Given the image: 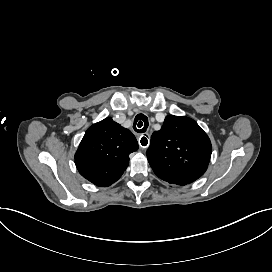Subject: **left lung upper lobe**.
I'll return each mask as SVG.
<instances>
[{
	"instance_id": "5c2ea615",
	"label": "left lung upper lobe",
	"mask_w": 272,
	"mask_h": 272,
	"mask_svg": "<svg viewBox=\"0 0 272 272\" xmlns=\"http://www.w3.org/2000/svg\"><path fill=\"white\" fill-rule=\"evenodd\" d=\"M211 152L209 137L193 119L168 115L151 136L146 155L160 179L186 185L204 174Z\"/></svg>"
}]
</instances>
